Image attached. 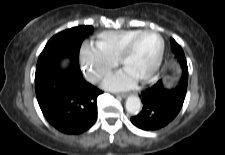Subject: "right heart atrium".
<instances>
[{
  "mask_svg": "<svg viewBox=\"0 0 225 155\" xmlns=\"http://www.w3.org/2000/svg\"><path fill=\"white\" fill-rule=\"evenodd\" d=\"M79 60L84 76L92 83L102 80L117 65V60L87 44L80 48Z\"/></svg>",
  "mask_w": 225,
  "mask_h": 155,
  "instance_id": "1",
  "label": "right heart atrium"
}]
</instances>
